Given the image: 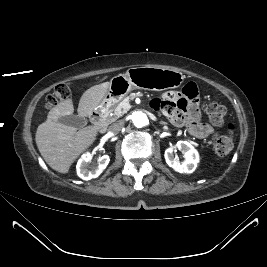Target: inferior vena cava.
Here are the masks:
<instances>
[{
	"label": "inferior vena cava",
	"instance_id": "1",
	"mask_svg": "<svg viewBox=\"0 0 267 267\" xmlns=\"http://www.w3.org/2000/svg\"><path fill=\"white\" fill-rule=\"evenodd\" d=\"M123 127V122L122 121H117V122H114L112 123L110 126H109V131L114 133V134H117L121 131Z\"/></svg>",
	"mask_w": 267,
	"mask_h": 267
}]
</instances>
